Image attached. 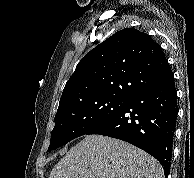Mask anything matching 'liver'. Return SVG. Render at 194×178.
<instances>
[{
  "mask_svg": "<svg viewBox=\"0 0 194 178\" xmlns=\"http://www.w3.org/2000/svg\"><path fill=\"white\" fill-rule=\"evenodd\" d=\"M49 178H164L160 163L124 141L87 135L53 167Z\"/></svg>",
  "mask_w": 194,
  "mask_h": 178,
  "instance_id": "6515ba94",
  "label": "liver"
}]
</instances>
